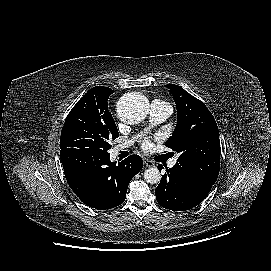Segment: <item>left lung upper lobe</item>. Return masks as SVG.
<instances>
[{"instance_id": "obj_1", "label": "left lung upper lobe", "mask_w": 271, "mask_h": 271, "mask_svg": "<svg viewBox=\"0 0 271 271\" xmlns=\"http://www.w3.org/2000/svg\"><path fill=\"white\" fill-rule=\"evenodd\" d=\"M175 100L177 125L165 145L179 153L177 165L214 184L220 169V140L216 121L203 102L180 86L166 85Z\"/></svg>"}]
</instances>
